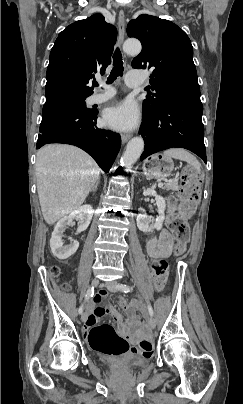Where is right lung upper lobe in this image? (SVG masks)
Here are the masks:
<instances>
[{
	"label": "right lung upper lobe",
	"instance_id": "right-lung-upper-lobe-1",
	"mask_svg": "<svg viewBox=\"0 0 243 404\" xmlns=\"http://www.w3.org/2000/svg\"><path fill=\"white\" fill-rule=\"evenodd\" d=\"M117 30L104 16L94 14L67 26L50 53L45 87L46 103L88 97L93 93L89 80L102 75L111 63Z\"/></svg>",
	"mask_w": 243,
	"mask_h": 404
}]
</instances>
